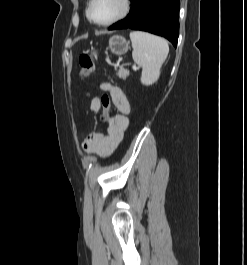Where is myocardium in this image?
<instances>
[{"instance_id":"myocardium-1","label":"myocardium","mask_w":247,"mask_h":265,"mask_svg":"<svg viewBox=\"0 0 247 265\" xmlns=\"http://www.w3.org/2000/svg\"><path fill=\"white\" fill-rule=\"evenodd\" d=\"M94 3H95V0L89 1L86 14H87L88 20L92 24L99 26V27H109V26H112V25L122 21L123 19H125L130 14V12L132 10V0H121L122 7H121V10L119 11L118 14H116L114 17H112L108 21L97 22L93 19L92 13H91Z\"/></svg>"}]
</instances>
